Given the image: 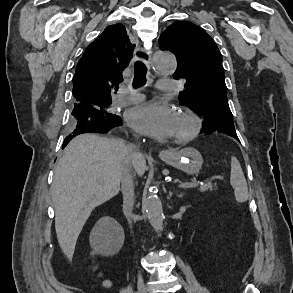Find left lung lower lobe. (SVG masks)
<instances>
[{"label":"left lung lower lobe","instance_id":"obj_1","mask_svg":"<svg viewBox=\"0 0 293 293\" xmlns=\"http://www.w3.org/2000/svg\"><path fill=\"white\" fill-rule=\"evenodd\" d=\"M205 132H206V131H205ZM225 134H228V135H230V136L236 138V139L239 141V138H238V136H237V134H236V131H227V132H225Z\"/></svg>","mask_w":293,"mask_h":293}]
</instances>
